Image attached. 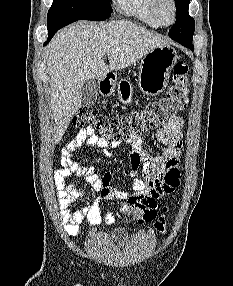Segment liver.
<instances>
[{
    "instance_id": "liver-1",
    "label": "liver",
    "mask_w": 233,
    "mask_h": 286,
    "mask_svg": "<svg viewBox=\"0 0 233 286\" xmlns=\"http://www.w3.org/2000/svg\"><path fill=\"white\" fill-rule=\"evenodd\" d=\"M163 45H168L163 37L125 20L104 24L79 21L58 32L45 52L54 143L61 141L80 108L85 81L129 67ZM105 54L109 64L103 59Z\"/></svg>"
}]
</instances>
